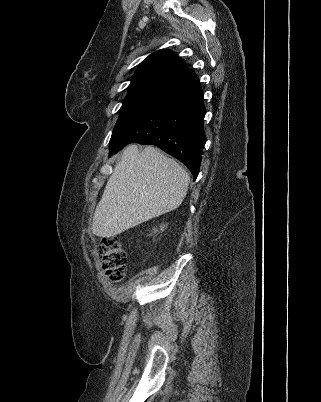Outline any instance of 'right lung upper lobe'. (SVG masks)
Returning <instances> with one entry per match:
<instances>
[{"instance_id": "obj_1", "label": "right lung upper lobe", "mask_w": 321, "mask_h": 402, "mask_svg": "<svg viewBox=\"0 0 321 402\" xmlns=\"http://www.w3.org/2000/svg\"><path fill=\"white\" fill-rule=\"evenodd\" d=\"M191 77L176 53L159 50L149 55L134 73L129 89L146 84L176 86Z\"/></svg>"}]
</instances>
